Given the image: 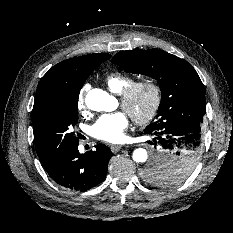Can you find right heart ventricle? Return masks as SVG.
<instances>
[{"instance_id": "1", "label": "right heart ventricle", "mask_w": 233, "mask_h": 233, "mask_svg": "<svg viewBox=\"0 0 233 233\" xmlns=\"http://www.w3.org/2000/svg\"><path fill=\"white\" fill-rule=\"evenodd\" d=\"M104 82L112 92L120 94L126 86L133 82V77L119 71H114L104 77Z\"/></svg>"}]
</instances>
